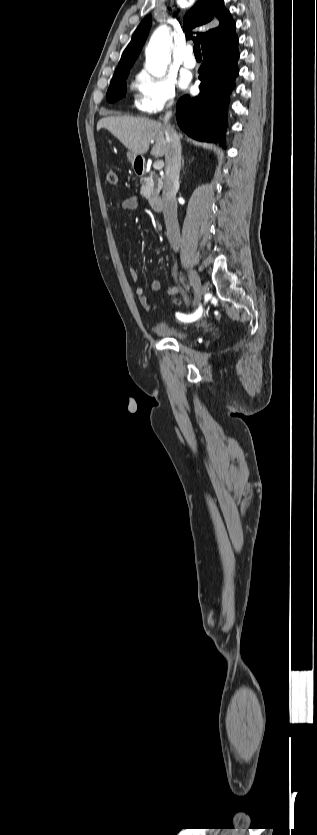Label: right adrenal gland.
Instances as JSON below:
<instances>
[{"instance_id":"2a0ac1e0","label":"right adrenal gland","mask_w":317,"mask_h":835,"mask_svg":"<svg viewBox=\"0 0 317 835\" xmlns=\"http://www.w3.org/2000/svg\"><path fill=\"white\" fill-rule=\"evenodd\" d=\"M182 164L184 165V161H183V159H182Z\"/></svg>"}]
</instances>
